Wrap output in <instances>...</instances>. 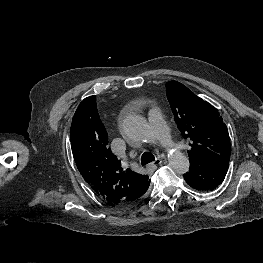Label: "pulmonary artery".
Masks as SVG:
<instances>
[{
  "instance_id": "obj_1",
  "label": "pulmonary artery",
  "mask_w": 263,
  "mask_h": 263,
  "mask_svg": "<svg viewBox=\"0 0 263 263\" xmlns=\"http://www.w3.org/2000/svg\"><path fill=\"white\" fill-rule=\"evenodd\" d=\"M149 123L153 134L161 140L170 143L169 131L157 107H152L148 113Z\"/></svg>"
}]
</instances>
